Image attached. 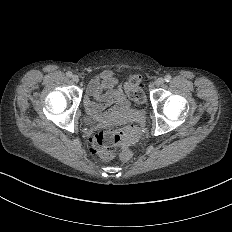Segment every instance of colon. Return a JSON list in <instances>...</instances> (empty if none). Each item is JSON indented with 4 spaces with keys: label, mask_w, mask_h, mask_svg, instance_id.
Instances as JSON below:
<instances>
[{
    "label": "colon",
    "mask_w": 232,
    "mask_h": 232,
    "mask_svg": "<svg viewBox=\"0 0 232 232\" xmlns=\"http://www.w3.org/2000/svg\"><path fill=\"white\" fill-rule=\"evenodd\" d=\"M141 71H136L130 79H123L126 95H131L135 103H140L145 97V92L138 88L142 86ZM136 141V134L132 130L121 131L118 129H104L97 132L92 140V147L104 159H112L116 151L123 149L124 145H132Z\"/></svg>",
    "instance_id": "colon-1"
}]
</instances>
